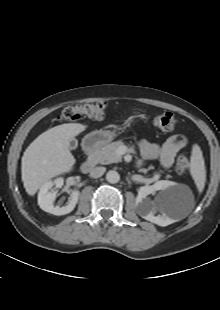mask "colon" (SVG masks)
Instances as JSON below:
<instances>
[{
	"label": "colon",
	"instance_id": "colon-1",
	"mask_svg": "<svg viewBox=\"0 0 220 310\" xmlns=\"http://www.w3.org/2000/svg\"><path fill=\"white\" fill-rule=\"evenodd\" d=\"M106 105L104 102L95 101L87 102L75 106L65 107L61 113L60 118L66 121H77L84 117L95 119H102L105 116ZM152 123L155 127L163 131H171L176 125V118L170 112H165L156 115ZM191 164V158L188 155H181L176 163V171L179 174L186 173Z\"/></svg>",
	"mask_w": 220,
	"mask_h": 310
}]
</instances>
